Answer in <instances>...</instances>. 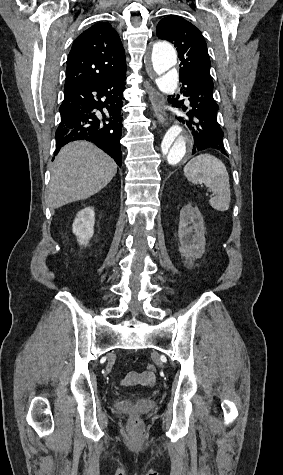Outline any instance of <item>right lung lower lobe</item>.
<instances>
[{"mask_svg":"<svg viewBox=\"0 0 283 475\" xmlns=\"http://www.w3.org/2000/svg\"><path fill=\"white\" fill-rule=\"evenodd\" d=\"M126 75L99 82L64 87L59 108L61 121L56 130V152L74 140H87L114 158L120 166L122 153V105Z\"/></svg>","mask_w":283,"mask_h":475,"instance_id":"98d812e1","label":"right lung lower lobe"}]
</instances>
